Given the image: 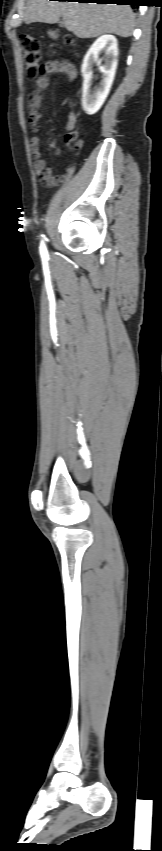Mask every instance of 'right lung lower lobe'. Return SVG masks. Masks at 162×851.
I'll use <instances>...</instances> for the list:
<instances>
[{
    "label": "right lung lower lobe",
    "mask_w": 162,
    "mask_h": 851,
    "mask_svg": "<svg viewBox=\"0 0 162 851\" xmlns=\"http://www.w3.org/2000/svg\"><path fill=\"white\" fill-rule=\"evenodd\" d=\"M71 1V0H59ZM78 2L98 3V4H117V5H135L139 6L140 0H74Z\"/></svg>",
    "instance_id": "right-lung-lower-lobe-1"
}]
</instances>
